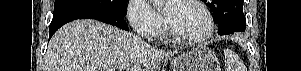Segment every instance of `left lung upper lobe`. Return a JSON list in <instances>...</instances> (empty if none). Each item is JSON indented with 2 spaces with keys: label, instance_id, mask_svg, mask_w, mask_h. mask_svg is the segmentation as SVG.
<instances>
[{
  "label": "left lung upper lobe",
  "instance_id": "5c2ea615",
  "mask_svg": "<svg viewBox=\"0 0 301 71\" xmlns=\"http://www.w3.org/2000/svg\"><path fill=\"white\" fill-rule=\"evenodd\" d=\"M213 12L215 21L229 12H243V0H203Z\"/></svg>",
  "mask_w": 301,
  "mask_h": 71
}]
</instances>
